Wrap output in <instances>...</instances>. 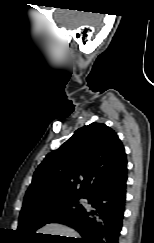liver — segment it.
<instances>
[{
  "label": "liver",
  "mask_w": 154,
  "mask_h": 243,
  "mask_svg": "<svg viewBox=\"0 0 154 243\" xmlns=\"http://www.w3.org/2000/svg\"><path fill=\"white\" fill-rule=\"evenodd\" d=\"M37 233L79 238V234L75 230L65 225L57 224V223L48 224L42 227L41 229H39ZM68 239H73V238H68Z\"/></svg>",
  "instance_id": "obj_1"
}]
</instances>
